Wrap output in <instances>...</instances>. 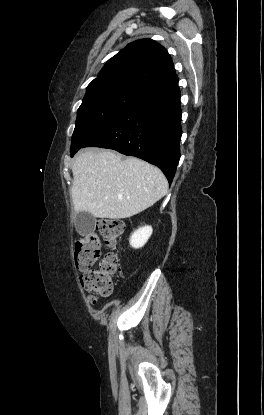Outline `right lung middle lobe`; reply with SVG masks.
<instances>
[{
  "label": "right lung middle lobe",
  "mask_w": 264,
  "mask_h": 415,
  "mask_svg": "<svg viewBox=\"0 0 264 415\" xmlns=\"http://www.w3.org/2000/svg\"><path fill=\"white\" fill-rule=\"evenodd\" d=\"M141 100L139 96L123 92L85 96L77 111L71 151L83 146Z\"/></svg>",
  "instance_id": "right-lung-middle-lobe-1"
}]
</instances>
